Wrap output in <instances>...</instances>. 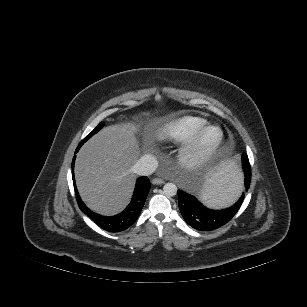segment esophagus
<instances>
[{
	"instance_id": "1",
	"label": "esophagus",
	"mask_w": 307,
	"mask_h": 307,
	"mask_svg": "<svg viewBox=\"0 0 307 307\" xmlns=\"http://www.w3.org/2000/svg\"><path fill=\"white\" fill-rule=\"evenodd\" d=\"M164 183V180L163 179H160V178H154L152 179V184L154 185H161Z\"/></svg>"
}]
</instances>
